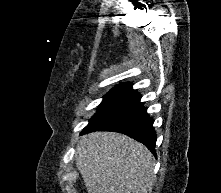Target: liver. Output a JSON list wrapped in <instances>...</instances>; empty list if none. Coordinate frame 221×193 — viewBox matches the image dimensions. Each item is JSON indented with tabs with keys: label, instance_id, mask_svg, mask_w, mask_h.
<instances>
[{
	"label": "liver",
	"instance_id": "6515ba94",
	"mask_svg": "<svg viewBox=\"0 0 221 193\" xmlns=\"http://www.w3.org/2000/svg\"><path fill=\"white\" fill-rule=\"evenodd\" d=\"M75 157L88 193H148L152 187L154 158L126 135L101 131L84 135Z\"/></svg>",
	"mask_w": 221,
	"mask_h": 193
}]
</instances>
